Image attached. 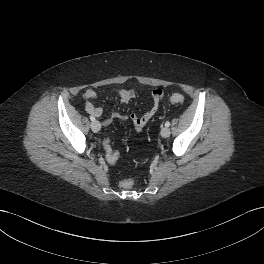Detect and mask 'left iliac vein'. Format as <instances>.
Instances as JSON below:
<instances>
[{"instance_id":"4c4485c4","label":"left iliac vein","mask_w":264,"mask_h":264,"mask_svg":"<svg viewBox=\"0 0 264 264\" xmlns=\"http://www.w3.org/2000/svg\"><path fill=\"white\" fill-rule=\"evenodd\" d=\"M161 136L167 138L170 136V129L168 127H163L161 129Z\"/></svg>"}]
</instances>
